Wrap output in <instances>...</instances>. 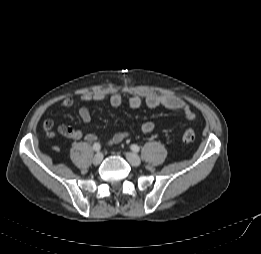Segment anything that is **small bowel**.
Returning <instances> with one entry per match:
<instances>
[{
	"label": "small bowel",
	"mask_w": 261,
	"mask_h": 254,
	"mask_svg": "<svg viewBox=\"0 0 261 254\" xmlns=\"http://www.w3.org/2000/svg\"><path fill=\"white\" fill-rule=\"evenodd\" d=\"M80 99L84 102H98L108 99L109 104L112 107H119L123 102V97L120 94H111L108 95L105 92L97 93H83L80 96ZM145 104L149 108H158L163 107L170 110L181 111L185 118L189 121H192L195 118V114L192 111L190 105L186 103L181 98L171 96V95H162L150 93L144 97L133 96L128 99V105L130 108L136 109ZM59 107L62 108H71L74 105V100L71 97H66L58 103ZM79 117L81 121L85 124L91 121V112L90 110L82 106L78 110ZM44 131L49 136H54V122L52 120H46L43 124ZM155 129V124L151 121L145 122L140 126V130L145 133H151ZM57 132L67 138L80 140L84 139L89 143L98 142L99 138L95 134H86L84 135L81 129L72 128L67 125H59ZM132 131L130 129H125L119 132H116L108 141L109 145H115L122 142L125 138L130 136Z\"/></svg>",
	"instance_id": "obj_1"
}]
</instances>
